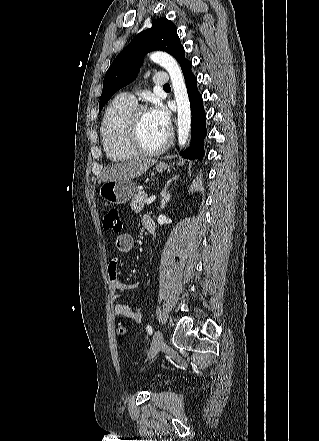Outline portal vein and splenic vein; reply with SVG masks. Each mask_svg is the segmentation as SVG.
Segmentation results:
<instances>
[{"instance_id": "1", "label": "portal vein and splenic vein", "mask_w": 319, "mask_h": 441, "mask_svg": "<svg viewBox=\"0 0 319 441\" xmlns=\"http://www.w3.org/2000/svg\"><path fill=\"white\" fill-rule=\"evenodd\" d=\"M155 199H156V196L154 195V196H151V197H149L148 198V200H147V204H151L152 202H154L155 201Z\"/></svg>"}]
</instances>
